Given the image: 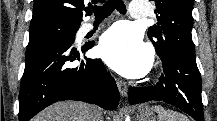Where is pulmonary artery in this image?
<instances>
[{"label":"pulmonary artery","instance_id":"1","mask_svg":"<svg viewBox=\"0 0 217 121\" xmlns=\"http://www.w3.org/2000/svg\"><path fill=\"white\" fill-rule=\"evenodd\" d=\"M130 17L132 18H143L148 16V5L143 2H131L129 9ZM94 28L93 23H85L81 29V34L88 33Z\"/></svg>","mask_w":217,"mask_h":121}]
</instances>
